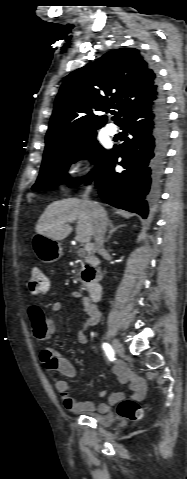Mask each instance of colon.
<instances>
[{
    "label": "colon",
    "mask_w": 187,
    "mask_h": 479,
    "mask_svg": "<svg viewBox=\"0 0 187 479\" xmlns=\"http://www.w3.org/2000/svg\"><path fill=\"white\" fill-rule=\"evenodd\" d=\"M27 289L30 295L40 296L48 292V279L39 268H33L27 281ZM117 414L130 421L138 420L142 417V411L139 406L130 399L122 400L117 407Z\"/></svg>",
    "instance_id": "obj_1"
}]
</instances>
